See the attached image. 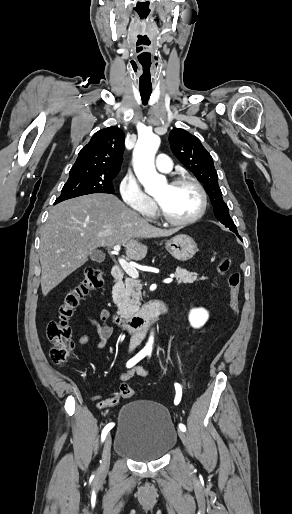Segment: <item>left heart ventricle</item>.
<instances>
[{
	"mask_svg": "<svg viewBox=\"0 0 292 514\" xmlns=\"http://www.w3.org/2000/svg\"><path fill=\"white\" fill-rule=\"evenodd\" d=\"M154 196L163 210L174 219H186L192 216L199 206V196L189 185L177 187L165 185Z\"/></svg>",
	"mask_w": 292,
	"mask_h": 514,
	"instance_id": "left-heart-ventricle-1",
	"label": "left heart ventricle"
}]
</instances>
